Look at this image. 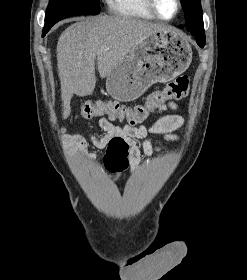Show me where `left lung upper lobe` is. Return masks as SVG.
Instances as JSON below:
<instances>
[{"mask_svg": "<svg viewBox=\"0 0 247 280\" xmlns=\"http://www.w3.org/2000/svg\"><path fill=\"white\" fill-rule=\"evenodd\" d=\"M185 13L187 30L205 36L201 0H181Z\"/></svg>", "mask_w": 247, "mask_h": 280, "instance_id": "left-lung-upper-lobe-1", "label": "left lung upper lobe"}]
</instances>
